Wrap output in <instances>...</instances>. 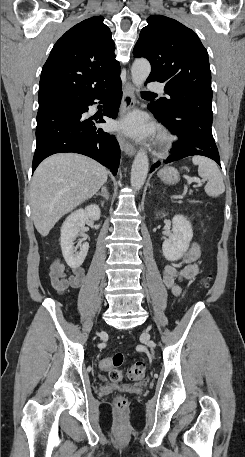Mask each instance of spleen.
I'll return each mask as SVG.
<instances>
[{"label": "spleen", "mask_w": 245, "mask_h": 457, "mask_svg": "<svg viewBox=\"0 0 245 457\" xmlns=\"http://www.w3.org/2000/svg\"><path fill=\"white\" fill-rule=\"evenodd\" d=\"M192 162L193 164H198L199 176L208 180L207 184H205V192L209 196H219V194H222L225 190V184L216 162L208 158V156H200V154H194L192 156Z\"/></svg>", "instance_id": "3e777b00"}]
</instances>
